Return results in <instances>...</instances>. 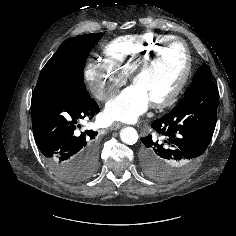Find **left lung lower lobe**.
Listing matches in <instances>:
<instances>
[{"label":"left lung lower lobe","instance_id":"0a47b994","mask_svg":"<svg viewBox=\"0 0 236 236\" xmlns=\"http://www.w3.org/2000/svg\"><path fill=\"white\" fill-rule=\"evenodd\" d=\"M218 89L213 80L189 91L174 109L151 127L161 136L141 138V166L158 180L173 179L190 169L206 151L217 121Z\"/></svg>","mask_w":236,"mask_h":236}]
</instances>
